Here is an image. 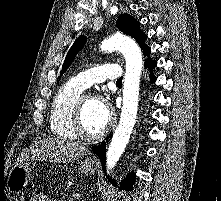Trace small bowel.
Segmentation results:
<instances>
[{
	"label": "small bowel",
	"mask_w": 221,
	"mask_h": 201,
	"mask_svg": "<svg viewBox=\"0 0 221 201\" xmlns=\"http://www.w3.org/2000/svg\"><path fill=\"white\" fill-rule=\"evenodd\" d=\"M31 201H51L50 198L43 193L36 194Z\"/></svg>",
	"instance_id": "small-bowel-1"
}]
</instances>
